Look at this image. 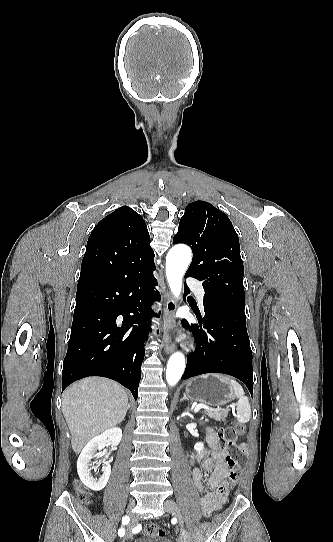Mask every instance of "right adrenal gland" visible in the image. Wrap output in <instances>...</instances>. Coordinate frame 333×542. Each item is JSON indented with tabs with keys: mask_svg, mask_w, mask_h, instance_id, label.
Here are the masks:
<instances>
[{
	"mask_svg": "<svg viewBox=\"0 0 333 542\" xmlns=\"http://www.w3.org/2000/svg\"><path fill=\"white\" fill-rule=\"evenodd\" d=\"M128 408H130V404H128Z\"/></svg>",
	"mask_w": 333,
	"mask_h": 542,
	"instance_id": "obj_1",
	"label": "right adrenal gland"
}]
</instances>
